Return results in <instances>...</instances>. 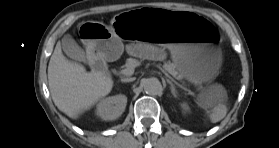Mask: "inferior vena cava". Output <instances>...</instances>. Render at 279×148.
I'll list each match as a JSON object with an SVG mask.
<instances>
[{"mask_svg":"<svg viewBox=\"0 0 279 148\" xmlns=\"http://www.w3.org/2000/svg\"><path fill=\"white\" fill-rule=\"evenodd\" d=\"M135 78H125L123 79L124 82H130V81H134Z\"/></svg>","mask_w":279,"mask_h":148,"instance_id":"1","label":"inferior vena cava"}]
</instances>
